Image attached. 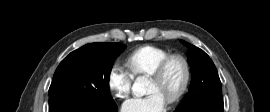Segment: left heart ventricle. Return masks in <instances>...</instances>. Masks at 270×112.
Returning <instances> with one entry per match:
<instances>
[{"instance_id": "1", "label": "left heart ventricle", "mask_w": 270, "mask_h": 112, "mask_svg": "<svg viewBox=\"0 0 270 112\" xmlns=\"http://www.w3.org/2000/svg\"><path fill=\"white\" fill-rule=\"evenodd\" d=\"M182 79L183 67L179 62H174L169 67L166 77L162 82L150 78L147 93H158L167 101L179 88Z\"/></svg>"}]
</instances>
